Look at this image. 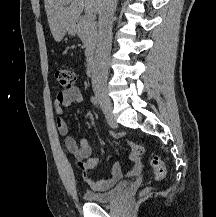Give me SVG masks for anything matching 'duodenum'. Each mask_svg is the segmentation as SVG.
Segmentation results:
<instances>
[{"instance_id":"obj_1","label":"duodenum","mask_w":216,"mask_h":217,"mask_svg":"<svg viewBox=\"0 0 216 217\" xmlns=\"http://www.w3.org/2000/svg\"><path fill=\"white\" fill-rule=\"evenodd\" d=\"M96 66V60L92 53L89 54L87 73L92 74Z\"/></svg>"}]
</instances>
